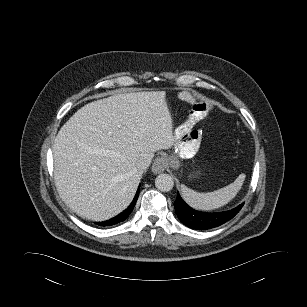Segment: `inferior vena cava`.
<instances>
[{"mask_svg":"<svg viewBox=\"0 0 307 307\" xmlns=\"http://www.w3.org/2000/svg\"><path fill=\"white\" fill-rule=\"evenodd\" d=\"M149 166V164L146 161H140L137 163V170L140 173H143L145 169H147V167Z\"/></svg>","mask_w":307,"mask_h":307,"instance_id":"obj_1","label":"inferior vena cava"}]
</instances>
